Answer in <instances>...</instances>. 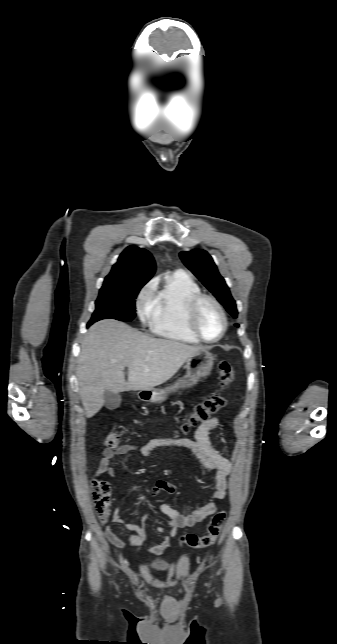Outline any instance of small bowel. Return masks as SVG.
<instances>
[{
	"instance_id": "c3829d8e",
	"label": "small bowel",
	"mask_w": 337,
	"mask_h": 644,
	"mask_svg": "<svg viewBox=\"0 0 337 644\" xmlns=\"http://www.w3.org/2000/svg\"><path fill=\"white\" fill-rule=\"evenodd\" d=\"M218 423L219 421L216 417H212L202 423L195 432L194 440H151L140 446L134 444H122L114 450L105 449L103 451V456L97 472L98 476L105 473L114 474L115 469L112 464V460L117 456L137 451L140 456L147 457L156 448L167 445H175L189 449L205 469L212 471L215 474L213 490L189 513L178 510L169 504H162L159 507V511L168 518L167 527L169 529V533L160 543L148 549L149 554L159 555L163 553L169 548L171 539L175 537L178 529L193 527L197 523L202 522L208 516L215 513L218 504L226 497L228 478L232 470V463L230 460L219 454V452L212 446L209 438L210 432L218 426ZM176 489V485L173 482L159 480L152 488L151 494L155 495L163 492L173 494L176 492ZM149 515L150 513L148 511L143 513L141 516L142 523L149 517ZM112 520L115 523L123 524L127 530L131 531L132 534L129 537L131 546L139 547L145 540H147L148 535L144 525L142 523L133 524L124 522L119 508L115 509ZM158 531L163 532L164 528L159 527ZM104 535L106 539L115 546L123 547L125 545L124 539L117 535L110 527L105 528Z\"/></svg>"
}]
</instances>
